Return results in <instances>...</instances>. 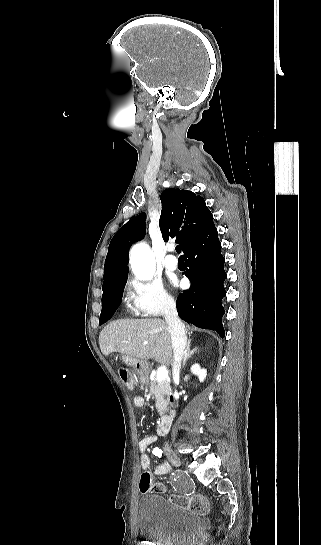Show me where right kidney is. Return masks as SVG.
Instances as JSON below:
<instances>
[{
	"instance_id": "1",
	"label": "right kidney",
	"mask_w": 321,
	"mask_h": 545,
	"mask_svg": "<svg viewBox=\"0 0 321 545\" xmlns=\"http://www.w3.org/2000/svg\"><path fill=\"white\" fill-rule=\"evenodd\" d=\"M191 373H193V375H197V377H199V381H204L207 375L206 369H200L199 365H192ZM185 379H187V377H185Z\"/></svg>"
}]
</instances>
